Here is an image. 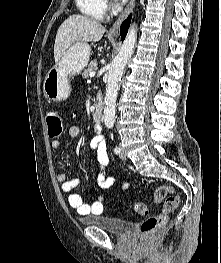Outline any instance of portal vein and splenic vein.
I'll use <instances>...</instances> for the list:
<instances>
[{
	"instance_id": "18ae733b",
	"label": "portal vein and splenic vein",
	"mask_w": 221,
	"mask_h": 263,
	"mask_svg": "<svg viewBox=\"0 0 221 263\" xmlns=\"http://www.w3.org/2000/svg\"><path fill=\"white\" fill-rule=\"evenodd\" d=\"M91 78L95 76V72L90 73L89 75Z\"/></svg>"
}]
</instances>
